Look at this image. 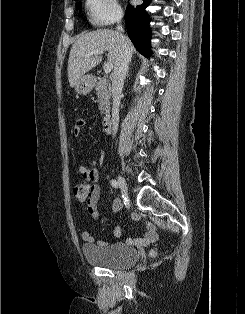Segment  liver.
<instances>
[{
    "instance_id": "1",
    "label": "liver",
    "mask_w": 245,
    "mask_h": 314,
    "mask_svg": "<svg viewBox=\"0 0 245 314\" xmlns=\"http://www.w3.org/2000/svg\"><path fill=\"white\" fill-rule=\"evenodd\" d=\"M122 34L110 29H100L81 35L72 45L68 60V81L70 87L92 68L96 67L102 58L99 55H89L94 50L108 51V61L116 63L121 50ZM132 53L135 48L128 37L124 36Z\"/></svg>"
}]
</instances>
